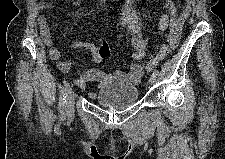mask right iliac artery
<instances>
[{"instance_id": "82829eb1", "label": "right iliac artery", "mask_w": 225, "mask_h": 159, "mask_svg": "<svg viewBox=\"0 0 225 159\" xmlns=\"http://www.w3.org/2000/svg\"><path fill=\"white\" fill-rule=\"evenodd\" d=\"M70 86L69 84H65L61 90V93H60V98H59V103H58V109H59V112L63 115L64 112H65V102H66V96H67V93H68V90H69Z\"/></svg>"}]
</instances>
